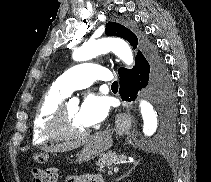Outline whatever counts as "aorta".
<instances>
[{
  "label": "aorta",
  "mask_w": 211,
  "mask_h": 182,
  "mask_svg": "<svg viewBox=\"0 0 211 182\" xmlns=\"http://www.w3.org/2000/svg\"><path fill=\"white\" fill-rule=\"evenodd\" d=\"M112 51L127 66L134 63L132 50L128 43L119 38H101L90 40L73 52L75 61H86L103 53ZM140 110L143 118V132L146 136L153 135L158 128V114L153 106L145 100L140 102Z\"/></svg>",
  "instance_id": "762f6f07"
}]
</instances>
